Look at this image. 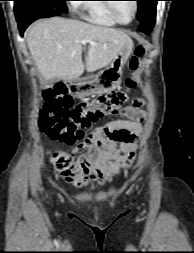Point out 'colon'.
I'll return each instance as SVG.
<instances>
[{
	"label": "colon",
	"mask_w": 194,
	"mask_h": 253,
	"mask_svg": "<svg viewBox=\"0 0 194 253\" xmlns=\"http://www.w3.org/2000/svg\"><path fill=\"white\" fill-rule=\"evenodd\" d=\"M145 54V48L138 45L130 61V69L136 70ZM136 87L132 77L126 79V86L83 101L73 106L72 98L64 85H58L44 92L46 101L41 111L40 127L49 138L65 144H73L84 136V129L119 111L129 99L130 91ZM55 168L61 172L72 165L70 156L62 151L51 154Z\"/></svg>",
	"instance_id": "5ec220e1"
}]
</instances>
